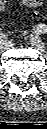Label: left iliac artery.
<instances>
[{
  "label": "left iliac artery",
  "mask_w": 47,
  "mask_h": 129,
  "mask_svg": "<svg viewBox=\"0 0 47 129\" xmlns=\"http://www.w3.org/2000/svg\"><path fill=\"white\" fill-rule=\"evenodd\" d=\"M34 30L36 34H44L47 31V27L46 25L41 24L38 25Z\"/></svg>",
  "instance_id": "1"
}]
</instances>
